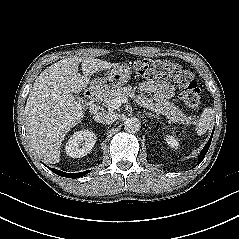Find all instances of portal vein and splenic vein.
I'll use <instances>...</instances> for the list:
<instances>
[{"mask_svg": "<svg viewBox=\"0 0 239 239\" xmlns=\"http://www.w3.org/2000/svg\"><path fill=\"white\" fill-rule=\"evenodd\" d=\"M127 101H128L127 97H118L109 102L108 108L112 110L118 109L122 103H126ZM163 115H165L168 119L171 118L169 115L166 114Z\"/></svg>", "mask_w": 239, "mask_h": 239, "instance_id": "obj_1", "label": "portal vein and splenic vein"}]
</instances>
